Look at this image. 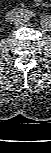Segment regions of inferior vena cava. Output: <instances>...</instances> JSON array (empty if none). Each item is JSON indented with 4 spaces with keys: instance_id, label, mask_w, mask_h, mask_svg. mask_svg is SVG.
Segmentation results:
<instances>
[{
    "instance_id": "obj_1",
    "label": "inferior vena cava",
    "mask_w": 51,
    "mask_h": 153,
    "mask_svg": "<svg viewBox=\"0 0 51 153\" xmlns=\"http://www.w3.org/2000/svg\"><path fill=\"white\" fill-rule=\"evenodd\" d=\"M13 24L16 27H23L29 24V18L25 15H18L14 18Z\"/></svg>"
}]
</instances>
